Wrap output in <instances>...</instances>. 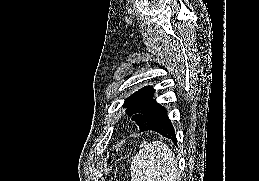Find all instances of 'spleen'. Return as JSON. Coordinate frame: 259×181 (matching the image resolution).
I'll list each match as a JSON object with an SVG mask.
<instances>
[{"mask_svg":"<svg viewBox=\"0 0 259 181\" xmlns=\"http://www.w3.org/2000/svg\"><path fill=\"white\" fill-rule=\"evenodd\" d=\"M178 161L165 143L146 144L131 162V181H179Z\"/></svg>","mask_w":259,"mask_h":181,"instance_id":"spleen-1","label":"spleen"}]
</instances>
